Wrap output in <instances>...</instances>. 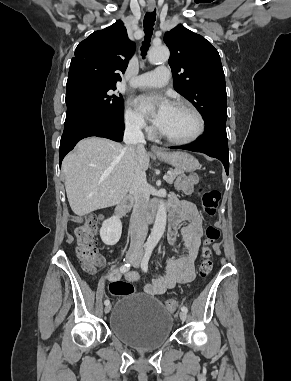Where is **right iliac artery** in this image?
<instances>
[{
	"label": "right iliac artery",
	"mask_w": 291,
	"mask_h": 381,
	"mask_svg": "<svg viewBox=\"0 0 291 381\" xmlns=\"http://www.w3.org/2000/svg\"><path fill=\"white\" fill-rule=\"evenodd\" d=\"M129 269H130V264H129V263H125V264L121 265V267H120V272H121V273H125V272H127ZM104 304H105V305H108V304H110V301L107 299V300L104 301Z\"/></svg>",
	"instance_id": "1"
}]
</instances>
